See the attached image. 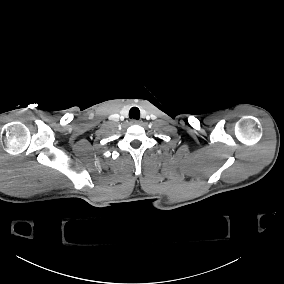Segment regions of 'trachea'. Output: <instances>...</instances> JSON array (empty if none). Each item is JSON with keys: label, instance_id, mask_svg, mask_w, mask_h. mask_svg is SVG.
Listing matches in <instances>:
<instances>
[{"label": "trachea", "instance_id": "3493384b", "mask_svg": "<svg viewBox=\"0 0 284 284\" xmlns=\"http://www.w3.org/2000/svg\"><path fill=\"white\" fill-rule=\"evenodd\" d=\"M129 117L130 118H133V119H136V120H139L140 118V111L137 107H132L129 111Z\"/></svg>", "mask_w": 284, "mask_h": 284}]
</instances>
